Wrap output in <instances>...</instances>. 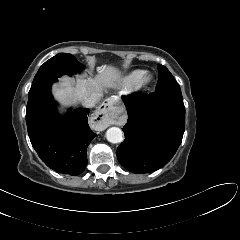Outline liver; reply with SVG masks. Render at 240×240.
Masks as SVG:
<instances>
[{"mask_svg": "<svg viewBox=\"0 0 240 240\" xmlns=\"http://www.w3.org/2000/svg\"><path fill=\"white\" fill-rule=\"evenodd\" d=\"M121 72L114 66H101L95 78H77L73 81L67 76L60 79L59 84L54 85L53 95L64 106L82 102L93 93H101L107 88H114L120 82Z\"/></svg>", "mask_w": 240, "mask_h": 240, "instance_id": "1", "label": "liver"}]
</instances>
